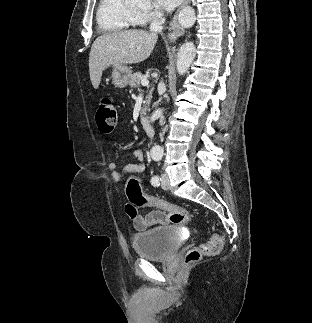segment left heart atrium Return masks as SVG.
Listing matches in <instances>:
<instances>
[{
	"instance_id": "obj_1",
	"label": "left heart atrium",
	"mask_w": 312,
	"mask_h": 323,
	"mask_svg": "<svg viewBox=\"0 0 312 323\" xmlns=\"http://www.w3.org/2000/svg\"><path fill=\"white\" fill-rule=\"evenodd\" d=\"M184 0H152V8H161L162 12H175L176 8H180Z\"/></svg>"
}]
</instances>
